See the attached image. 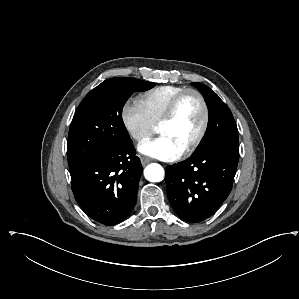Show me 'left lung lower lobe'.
<instances>
[{"label": "left lung lower lobe", "mask_w": 299, "mask_h": 299, "mask_svg": "<svg viewBox=\"0 0 299 299\" xmlns=\"http://www.w3.org/2000/svg\"><path fill=\"white\" fill-rule=\"evenodd\" d=\"M238 160L239 153L216 148L169 165L165 180L175 213L193 223L207 219L228 197Z\"/></svg>", "instance_id": "left-lung-lower-lobe-1"}]
</instances>
